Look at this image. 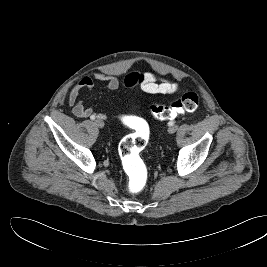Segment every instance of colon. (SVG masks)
<instances>
[{"mask_svg": "<svg viewBox=\"0 0 267 267\" xmlns=\"http://www.w3.org/2000/svg\"><path fill=\"white\" fill-rule=\"evenodd\" d=\"M200 106V98L194 92L183 94L170 105L152 104L151 114L160 120L173 119L179 114L193 112ZM134 130L133 133L124 137L119 145V154L129 182L130 193L141 192L147 183V169L141 158V152L146 147L149 139L147 125L138 119L126 120Z\"/></svg>", "mask_w": 267, "mask_h": 267, "instance_id": "1", "label": "colon"}]
</instances>
